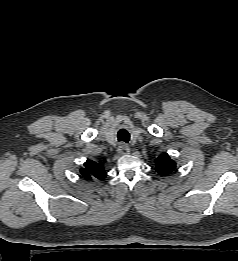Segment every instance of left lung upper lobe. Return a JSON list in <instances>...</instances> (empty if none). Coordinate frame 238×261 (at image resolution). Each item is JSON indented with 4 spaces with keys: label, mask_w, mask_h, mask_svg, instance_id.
<instances>
[{
    "label": "left lung upper lobe",
    "mask_w": 238,
    "mask_h": 261,
    "mask_svg": "<svg viewBox=\"0 0 238 261\" xmlns=\"http://www.w3.org/2000/svg\"><path fill=\"white\" fill-rule=\"evenodd\" d=\"M155 163V169L160 175H168L176 168V163L169 157L167 153L160 155L156 159Z\"/></svg>",
    "instance_id": "5c2ea615"
}]
</instances>
